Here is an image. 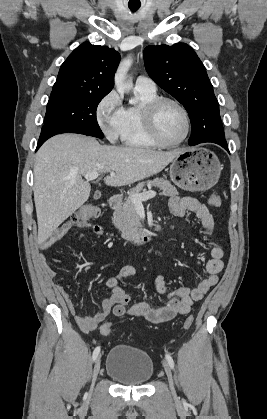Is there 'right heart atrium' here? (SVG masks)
<instances>
[{
  "mask_svg": "<svg viewBox=\"0 0 267 419\" xmlns=\"http://www.w3.org/2000/svg\"><path fill=\"white\" fill-rule=\"evenodd\" d=\"M123 107L116 91L107 93L97 104L95 116L97 123L110 141L120 137Z\"/></svg>",
  "mask_w": 267,
  "mask_h": 419,
  "instance_id": "right-heart-atrium-1",
  "label": "right heart atrium"
}]
</instances>
